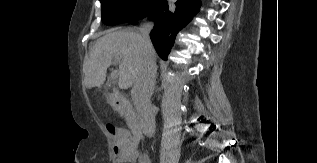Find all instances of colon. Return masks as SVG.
Masks as SVG:
<instances>
[{
	"label": "colon",
	"mask_w": 317,
	"mask_h": 163,
	"mask_svg": "<svg viewBox=\"0 0 317 163\" xmlns=\"http://www.w3.org/2000/svg\"><path fill=\"white\" fill-rule=\"evenodd\" d=\"M109 132L114 135L115 134V128L114 127H109L108 128Z\"/></svg>",
	"instance_id": "obj_1"
}]
</instances>
